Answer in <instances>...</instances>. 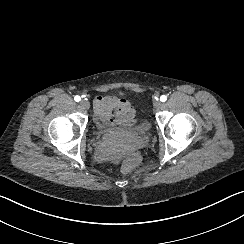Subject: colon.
I'll return each mask as SVG.
<instances>
[{"label":"colon","mask_w":244,"mask_h":244,"mask_svg":"<svg viewBox=\"0 0 244 244\" xmlns=\"http://www.w3.org/2000/svg\"><path fill=\"white\" fill-rule=\"evenodd\" d=\"M121 168L124 171H131L134 168V162L131 159H124L121 162Z\"/></svg>","instance_id":"obj_1"}]
</instances>
